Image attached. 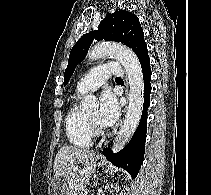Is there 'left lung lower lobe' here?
<instances>
[{
	"instance_id": "left-lung-lower-lobe-1",
	"label": "left lung lower lobe",
	"mask_w": 211,
	"mask_h": 195,
	"mask_svg": "<svg viewBox=\"0 0 211 195\" xmlns=\"http://www.w3.org/2000/svg\"><path fill=\"white\" fill-rule=\"evenodd\" d=\"M144 80V106L140 123L132 136L130 142L120 152L113 154L110 148H105L103 154L115 166L124 168L133 178L140 170L145 152V141L147 132V109L150 104L151 93V69L149 57L140 61Z\"/></svg>"
}]
</instances>
